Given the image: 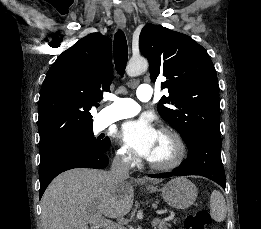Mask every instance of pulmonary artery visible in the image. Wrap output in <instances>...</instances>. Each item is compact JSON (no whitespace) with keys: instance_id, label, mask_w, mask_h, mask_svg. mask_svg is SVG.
Segmentation results:
<instances>
[{"instance_id":"1","label":"pulmonary artery","mask_w":261,"mask_h":229,"mask_svg":"<svg viewBox=\"0 0 261 229\" xmlns=\"http://www.w3.org/2000/svg\"><path fill=\"white\" fill-rule=\"evenodd\" d=\"M136 96L141 101H148L152 97V90L148 86L141 85L136 90ZM110 99L113 103L103 110L104 118L107 122H116L129 118L140 111V107L132 99L118 98L114 95Z\"/></svg>"}]
</instances>
